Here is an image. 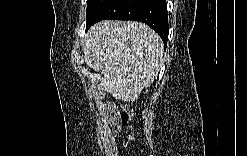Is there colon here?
<instances>
[{
  "mask_svg": "<svg viewBox=\"0 0 247 156\" xmlns=\"http://www.w3.org/2000/svg\"><path fill=\"white\" fill-rule=\"evenodd\" d=\"M121 122L129 129V134L123 142V149L127 150L135 140V130L133 127V112L128 106H124L120 113Z\"/></svg>",
  "mask_w": 247,
  "mask_h": 156,
  "instance_id": "1",
  "label": "colon"
}]
</instances>
